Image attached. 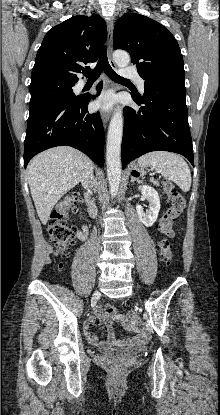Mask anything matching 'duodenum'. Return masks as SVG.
I'll return each instance as SVG.
<instances>
[{"instance_id":"410a0bca","label":"duodenum","mask_w":220,"mask_h":415,"mask_svg":"<svg viewBox=\"0 0 220 415\" xmlns=\"http://www.w3.org/2000/svg\"><path fill=\"white\" fill-rule=\"evenodd\" d=\"M86 204H87L88 212L90 216L95 217L98 212V207L89 194L86 195Z\"/></svg>"}]
</instances>
